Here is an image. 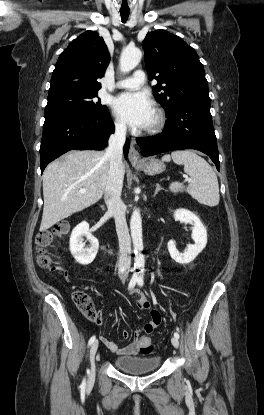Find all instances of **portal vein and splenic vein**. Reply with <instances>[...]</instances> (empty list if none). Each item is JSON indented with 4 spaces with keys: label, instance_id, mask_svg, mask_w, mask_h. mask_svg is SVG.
I'll use <instances>...</instances> for the list:
<instances>
[{
    "label": "portal vein and splenic vein",
    "instance_id": "obj_1",
    "mask_svg": "<svg viewBox=\"0 0 264 415\" xmlns=\"http://www.w3.org/2000/svg\"><path fill=\"white\" fill-rule=\"evenodd\" d=\"M186 181H187V182H191V179H190V178H188V177H186ZM80 192H81V193H84V192H86V190H85V189H81V190H80Z\"/></svg>",
    "mask_w": 264,
    "mask_h": 415
}]
</instances>
